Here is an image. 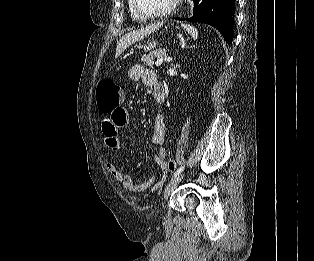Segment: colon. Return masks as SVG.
<instances>
[{
    "instance_id": "1",
    "label": "colon",
    "mask_w": 314,
    "mask_h": 261,
    "mask_svg": "<svg viewBox=\"0 0 314 261\" xmlns=\"http://www.w3.org/2000/svg\"><path fill=\"white\" fill-rule=\"evenodd\" d=\"M96 96L98 109L104 115H109L112 109H119L123 99L121 88L111 79L100 81L96 89ZM175 168L176 162L169 159L166 162V169L173 171Z\"/></svg>"
}]
</instances>
